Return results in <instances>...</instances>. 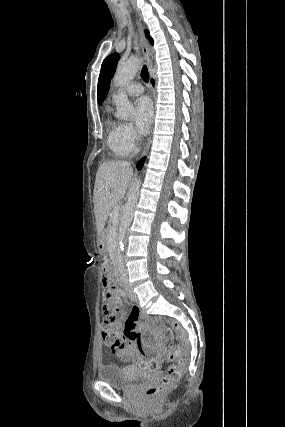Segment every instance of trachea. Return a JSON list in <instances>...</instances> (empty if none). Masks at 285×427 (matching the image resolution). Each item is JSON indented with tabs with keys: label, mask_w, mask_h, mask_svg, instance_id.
<instances>
[{
	"label": "trachea",
	"mask_w": 285,
	"mask_h": 427,
	"mask_svg": "<svg viewBox=\"0 0 285 427\" xmlns=\"http://www.w3.org/2000/svg\"><path fill=\"white\" fill-rule=\"evenodd\" d=\"M141 77L145 82L149 81V73L147 67L144 65L141 70Z\"/></svg>",
	"instance_id": "obj_1"
}]
</instances>
